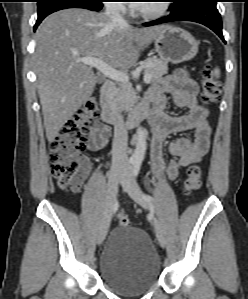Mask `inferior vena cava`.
Returning a JSON list of instances; mask_svg holds the SVG:
<instances>
[{"instance_id": "obj_1", "label": "inferior vena cava", "mask_w": 248, "mask_h": 299, "mask_svg": "<svg viewBox=\"0 0 248 299\" xmlns=\"http://www.w3.org/2000/svg\"><path fill=\"white\" fill-rule=\"evenodd\" d=\"M125 8L119 3H110L106 5L105 15L109 17L113 23L118 25H126L127 22L121 15V11ZM128 133L124 125L121 112H115L114 137L112 143V166L125 167L128 164Z\"/></svg>"}]
</instances>
